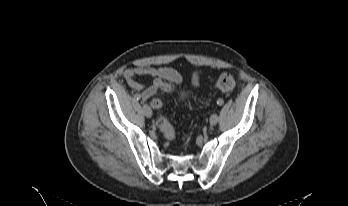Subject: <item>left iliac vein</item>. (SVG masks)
Wrapping results in <instances>:
<instances>
[{"label":"left iliac vein","instance_id":"left-iliac-vein-1","mask_svg":"<svg viewBox=\"0 0 348 206\" xmlns=\"http://www.w3.org/2000/svg\"><path fill=\"white\" fill-rule=\"evenodd\" d=\"M218 122V115L216 113L210 116V125L214 126Z\"/></svg>","mask_w":348,"mask_h":206}]
</instances>
